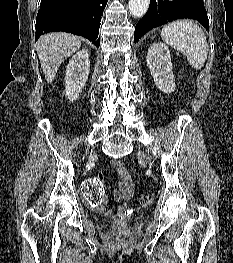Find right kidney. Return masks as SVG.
Masks as SVG:
<instances>
[{"mask_svg": "<svg viewBox=\"0 0 233 263\" xmlns=\"http://www.w3.org/2000/svg\"><path fill=\"white\" fill-rule=\"evenodd\" d=\"M90 71L88 51L85 49L77 52L67 65L65 76V95L70 101H75L82 92Z\"/></svg>", "mask_w": 233, "mask_h": 263, "instance_id": "1", "label": "right kidney"}]
</instances>
